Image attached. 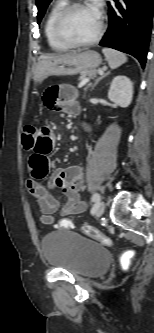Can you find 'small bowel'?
Masks as SVG:
<instances>
[{"label":"small bowel","instance_id":"1","mask_svg":"<svg viewBox=\"0 0 154 333\" xmlns=\"http://www.w3.org/2000/svg\"><path fill=\"white\" fill-rule=\"evenodd\" d=\"M75 97V89L71 85L63 84L48 88L43 98L47 107L76 115L80 112V106ZM54 147L53 131L47 126L38 127L34 148L28 162L31 179L27 182V188L37 200L40 222L44 225L55 223V213L59 209L62 216H70L81 214L87 208L86 203L80 198V190L83 185V174L80 167L58 168L49 175V155ZM48 175L47 185L39 183V180ZM53 188H59L66 196V202L61 208L58 200L52 194Z\"/></svg>","mask_w":154,"mask_h":333}]
</instances>
